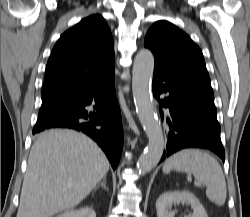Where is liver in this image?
<instances>
[{"instance_id": "6515ba94", "label": "liver", "mask_w": 250, "mask_h": 217, "mask_svg": "<svg viewBox=\"0 0 250 217\" xmlns=\"http://www.w3.org/2000/svg\"><path fill=\"white\" fill-rule=\"evenodd\" d=\"M109 170L103 151L82 133L51 129L31 148L16 217H51L87 197Z\"/></svg>"}]
</instances>
